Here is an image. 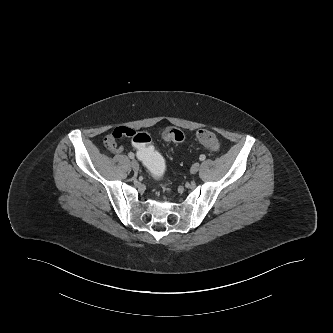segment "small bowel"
I'll list each match as a JSON object with an SVG mask.
<instances>
[{"label":"small bowel","instance_id":"c3829d8e","mask_svg":"<svg viewBox=\"0 0 333 333\" xmlns=\"http://www.w3.org/2000/svg\"><path fill=\"white\" fill-rule=\"evenodd\" d=\"M135 138L136 132L132 128L118 126L114 127L104 138V144L110 153L119 154L124 151V147L119 144H123L125 141L132 142Z\"/></svg>","mask_w":333,"mask_h":333}]
</instances>
